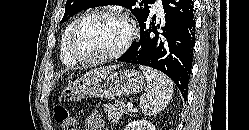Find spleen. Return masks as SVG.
<instances>
[{
  "instance_id": "spleen-1",
  "label": "spleen",
  "mask_w": 249,
  "mask_h": 130,
  "mask_svg": "<svg viewBox=\"0 0 249 130\" xmlns=\"http://www.w3.org/2000/svg\"><path fill=\"white\" fill-rule=\"evenodd\" d=\"M143 72L148 88L140 98V109L145 115H154L166 108L173 95V82L162 72L139 67Z\"/></svg>"
}]
</instances>
